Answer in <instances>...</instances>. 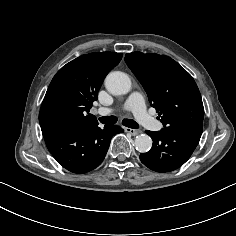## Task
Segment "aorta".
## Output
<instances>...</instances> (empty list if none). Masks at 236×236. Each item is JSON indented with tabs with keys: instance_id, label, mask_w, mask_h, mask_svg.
<instances>
[{
	"instance_id": "762f6f07",
	"label": "aorta",
	"mask_w": 236,
	"mask_h": 236,
	"mask_svg": "<svg viewBox=\"0 0 236 236\" xmlns=\"http://www.w3.org/2000/svg\"><path fill=\"white\" fill-rule=\"evenodd\" d=\"M105 87L114 95H124L131 89V80L124 72H110L105 78ZM135 147L141 153L148 152L152 147V139L146 134L138 135L135 138Z\"/></svg>"
}]
</instances>
